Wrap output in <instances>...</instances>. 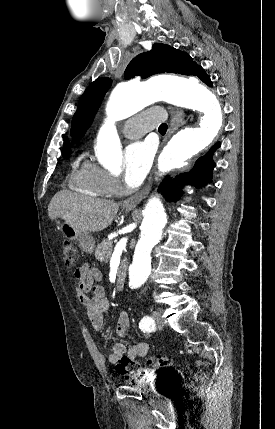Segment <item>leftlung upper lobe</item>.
Masks as SVG:
<instances>
[{
  "label": "left lung upper lobe",
  "mask_w": 275,
  "mask_h": 429,
  "mask_svg": "<svg viewBox=\"0 0 275 429\" xmlns=\"http://www.w3.org/2000/svg\"><path fill=\"white\" fill-rule=\"evenodd\" d=\"M196 62L185 52L156 43L149 52L142 53L134 58L125 70V78L136 75L147 78L158 73H179L196 76L199 69ZM110 87V79L98 78L92 82L81 96L76 113L72 119L71 134L77 141L85 133L92 122L106 91Z\"/></svg>",
  "instance_id": "1"
}]
</instances>
